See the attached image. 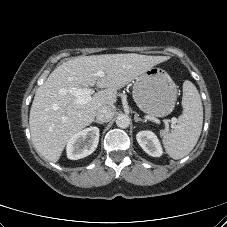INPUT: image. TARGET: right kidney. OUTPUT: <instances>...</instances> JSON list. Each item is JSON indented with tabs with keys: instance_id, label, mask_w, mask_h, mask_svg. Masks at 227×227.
<instances>
[{
	"instance_id": "ca27d5eb",
	"label": "right kidney",
	"mask_w": 227,
	"mask_h": 227,
	"mask_svg": "<svg viewBox=\"0 0 227 227\" xmlns=\"http://www.w3.org/2000/svg\"><path fill=\"white\" fill-rule=\"evenodd\" d=\"M99 142V128L89 127L75 133L68 141L66 151L71 160L84 158L95 151Z\"/></svg>"
}]
</instances>
